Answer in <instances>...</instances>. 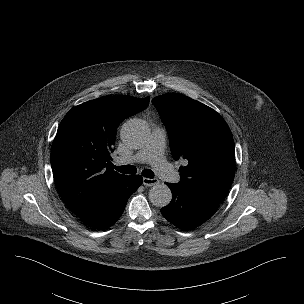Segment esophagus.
<instances>
[{"instance_id":"obj_1","label":"esophagus","mask_w":304,"mask_h":304,"mask_svg":"<svg viewBox=\"0 0 304 304\" xmlns=\"http://www.w3.org/2000/svg\"><path fill=\"white\" fill-rule=\"evenodd\" d=\"M158 183H159L158 179H155V178H152V179L151 178H143V184L145 186L151 187V186H154V185H156Z\"/></svg>"}]
</instances>
